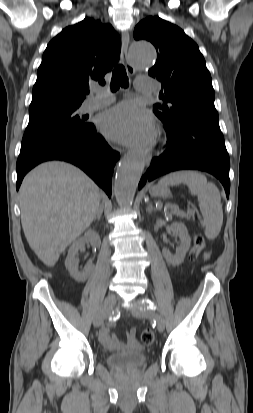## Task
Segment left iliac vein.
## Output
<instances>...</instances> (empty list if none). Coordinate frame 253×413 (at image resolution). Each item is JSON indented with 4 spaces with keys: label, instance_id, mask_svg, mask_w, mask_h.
Instances as JSON below:
<instances>
[{
    "label": "left iliac vein",
    "instance_id": "left-iliac-vein-1",
    "mask_svg": "<svg viewBox=\"0 0 253 413\" xmlns=\"http://www.w3.org/2000/svg\"><path fill=\"white\" fill-rule=\"evenodd\" d=\"M131 313L133 316L137 317V318H153L156 321L157 324V329L160 332L164 331L165 328V324H164V320L162 319V317L151 311L150 309H148L141 300H136L135 301V307L131 309Z\"/></svg>",
    "mask_w": 253,
    "mask_h": 413
}]
</instances>
